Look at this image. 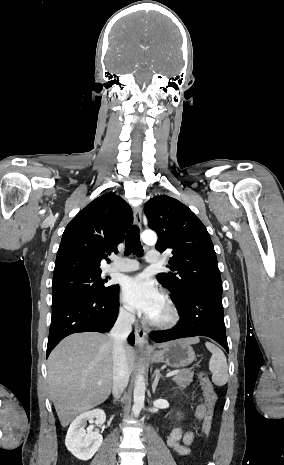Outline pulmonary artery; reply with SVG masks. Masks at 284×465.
<instances>
[{
    "label": "pulmonary artery",
    "instance_id": "obj_1",
    "mask_svg": "<svg viewBox=\"0 0 284 465\" xmlns=\"http://www.w3.org/2000/svg\"><path fill=\"white\" fill-rule=\"evenodd\" d=\"M145 260L147 263H160L164 261V256L161 255L160 251L148 250L146 253ZM139 264L135 260L129 259H114V261L108 266L107 272H133L138 270Z\"/></svg>",
    "mask_w": 284,
    "mask_h": 465
}]
</instances>
